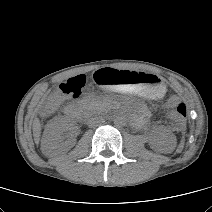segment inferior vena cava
<instances>
[{"mask_svg": "<svg viewBox=\"0 0 212 212\" xmlns=\"http://www.w3.org/2000/svg\"><path fill=\"white\" fill-rule=\"evenodd\" d=\"M102 118H100V117H91V118H89L88 120H87V125L89 126V127H93V126H95V125H98V124H100L101 122H102Z\"/></svg>", "mask_w": 212, "mask_h": 212, "instance_id": "602c4592", "label": "inferior vena cava"}]
</instances>
